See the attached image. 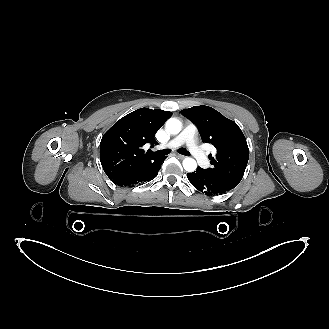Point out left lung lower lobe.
Returning a JSON list of instances; mask_svg holds the SVG:
<instances>
[{
  "instance_id": "0a47b994",
  "label": "left lung lower lobe",
  "mask_w": 329,
  "mask_h": 329,
  "mask_svg": "<svg viewBox=\"0 0 329 329\" xmlns=\"http://www.w3.org/2000/svg\"><path fill=\"white\" fill-rule=\"evenodd\" d=\"M187 178L197 190L208 196L223 194L234 188L230 184L211 177L199 167L196 171L187 173Z\"/></svg>"
}]
</instances>
